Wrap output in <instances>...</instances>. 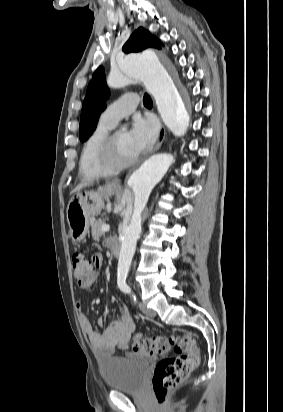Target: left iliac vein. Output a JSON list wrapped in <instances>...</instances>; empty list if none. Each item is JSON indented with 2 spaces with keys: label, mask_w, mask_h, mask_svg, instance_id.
Returning a JSON list of instances; mask_svg holds the SVG:
<instances>
[{
  "label": "left iliac vein",
  "mask_w": 283,
  "mask_h": 412,
  "mask_svg": "<svg viewBox=\"0 0 283 412\" xmlns=\"http://www.w3.org/2000/svg\"><path fill=\"white\" fill-rule=\"evenodd\" d=\"M138 306H139V309L142 311V313L145 314L146 316L151 317V318L156 316L155 311L148 308L144 303L139 302Z\"/></svg>",
  "instance_id": "1"
}]
</instances>
